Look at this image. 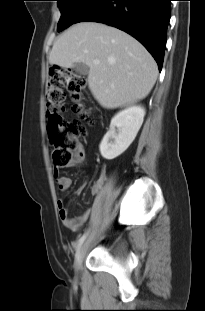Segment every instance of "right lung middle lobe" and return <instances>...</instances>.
<instances>
[{
    "mask_svg": "<svg viewBox=\"0 0 205 311\" xmlns=\"http://www.w3.org/2000/svg\"><path fill=\"white\" fill-rule=\"evenodd\" d=\"M61 11L57 31L74 24L94 0H56Z\"/></svg>",
    "mask_w": 205,
    "mask_h": 311,
    "instance_id": "1",
    "label": "right lung middle lobe"
}]
</instances>
